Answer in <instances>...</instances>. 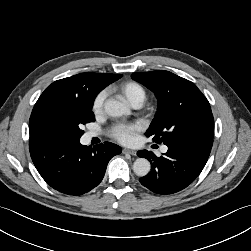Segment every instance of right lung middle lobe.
I'll list each match as a JSON object with an SVG mask.
<instances>
[{"label": "right lung middle lobe", "mask_w": 251, "mask_h": 251, "mask_svg": "<svg viewBox=\"0 0 251 251\" xmlns=\"http://www.w3.org/2000/svg\"><path fill=\"white\" fill-rule=\"evenodd\" d=\"M107 84L99 79L87 81L79 99L67 102H50L38 114L40 129L48 139L79 140L84 131L82 125L95 121L92 105L96 95Z\"/></svg>", "instance_id": "right-lung-middle-lobe-1"}]
</instances>
